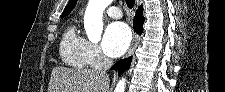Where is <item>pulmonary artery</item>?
I'll return each mask as SVG.
<instances>
[{
	"label": "pulmonary artery",
	"instance_id": "e3ab8cb5",
	"mask_svg": "<svg viewBox=\"0 0 225 92\" xmlns=\"http://www.w3.org/2000/svg\"><path fill=\"white\" fill-rule=\"evenodd\" d=\"M106 13L108 16L114 19H119L122 17V12L118 7L111 6L106 10Z\"/></svg>",
	"mask_w": 225,
	"mask_h": 92
}]
</instances>
